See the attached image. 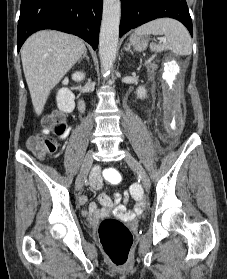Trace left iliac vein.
Masks as SVG:
<instances>
[{
  "instance_id": "4c4485c4",
  "label": "left iliac vein",
  "mask_w": 227,
  "mask_h": 279,
  "mask_svg": "<svg viewBox=\"0 0 227 279\" xmlns=\"http://www.w3.org/2000/svg\"><path fill=\"white\" fill-rule=\"evenodd\" d=\"M124 151L125 162L141 177L142 186L146 191H148L150 189L151 183L145 169L143 168L141 163L136 158H134L128 151Z\"/></svg>"
}]
</instances>
